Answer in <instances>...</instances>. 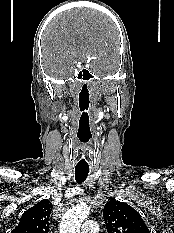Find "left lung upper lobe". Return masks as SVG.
I'll return each instance as SVG.
<instances>
[{"label":"left lung upper lobe","instance_id":"5c2ea615","mask_svg":"<svg viewBox=\"0 0 174 233\" xmlns=\"http://www.w3.org/2000/svg\"><path fill=\"white\" fill-rule=\"evenodd\" d=\"M103 218L108 233H150L139 213L124 202H107Z\"/></svg>","mask_w":174,"mask_h":233}]
</instances>
